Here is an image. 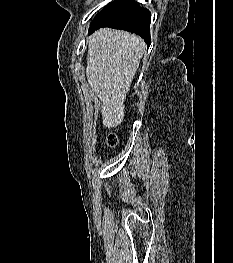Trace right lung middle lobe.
I'll return each mask as SVG.
<instances>
[{"mask_svg": "<svg viewBox=\"0 0 233 263\" xmlns=\"http://www.w3.org/2000/svg\"><path fill=\"white\" fill-rule=\"evenodd\" d=\"M130 0H116L103 8L94 18L95 23H106L115 17Z\"/></svg>", "mask_w": 233, "mask_h": 263, "instance_id": "1", "label": "right lung middle lobe"}]
</instances>
